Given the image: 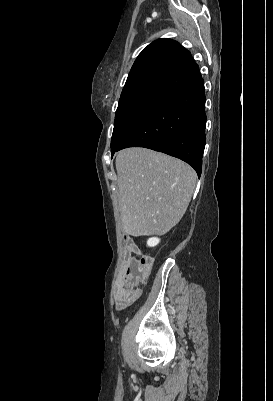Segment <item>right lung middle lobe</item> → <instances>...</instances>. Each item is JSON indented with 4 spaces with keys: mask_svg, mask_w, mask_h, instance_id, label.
I'll return each mask as SVG.
<instances>
[{
    "mask_svg": "<svg viewBox=\"0 0 273 401\" xmlns=\"http://www.w3.org/2000/svg\"><path fill=\"white\" fill-rule=\"evenodd\" d=\"M166 95L146 92L121 97L116 110L111 152L120 147L139 124L166 98Z\"/></svg>",
    "mask_w": 273,
    "mask_h": 401,
    "instance_id": "1",
    "label": "right lung middle lobe"
}]
</instances>
